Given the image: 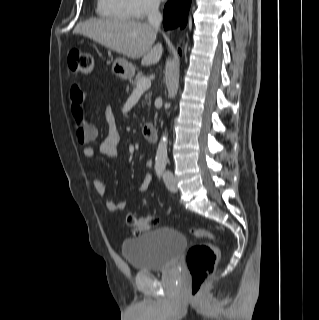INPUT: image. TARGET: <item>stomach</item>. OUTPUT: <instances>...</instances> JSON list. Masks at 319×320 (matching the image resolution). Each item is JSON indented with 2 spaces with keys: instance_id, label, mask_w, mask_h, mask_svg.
I'll use <instances>...</instances> for the list:
<instances>
[{
  "instance_id": "stomach-1",
  "label": "stomach",
  "mask_w": 319,
  "mask_h": 320,
  "mask_svg": "<svg viewBox=\"0 0 319 320\" xmlns=\"http://www.w3.org/2000/svg\"><path fill=\"white\" fill-rule=\"evenodd\" d=\"M112 73L119 79H131L135 73L134 66L123 58H118L112 65Z\"/></svg>"
}]
</instances>
